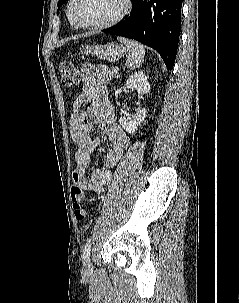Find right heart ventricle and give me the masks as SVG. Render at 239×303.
<instances>
[{"mask_svg":"<svg viewBox=\"0 0 239 303\" xmlns=\"http://www.w3.org/2000/svg\"><path fill=\"white\" fill-rule=\"evenodd\" d=\"M72 4H73V0H69V2L67 4V17H68V21H69V24L71 25V27L78 28V26L76 25V23L74 22L73 17H72V12H71Z\"/></svg>","mask_w":239,"mask_h":303,"instance_id":"obj_1","label":"right heart ventricle"}]
</instances>
